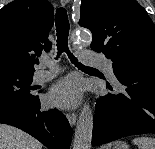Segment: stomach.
<instances>
[{"label":"stomach","mask_w":155,"mask_h":149,"mask_svg":"<svg viewBox=\"0 0 155 149\" xmlns=\"http://www.w3.org/2000/svg\"><path fill=\"white\" fill-rule=\"evenodd\" d=\"M107 149H129L128 145L123 141H116L110 145Z\"/></svg>","instance_id":"0dacf381"}]
</instances>
